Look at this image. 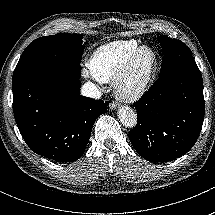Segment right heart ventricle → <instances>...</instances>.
<instances>
[{
    "instance_id": "e07e8e85",
    "label": "right heart ventricle",
    "mask_w": 215,
    "mask_h": 215,
    "mask_svg": "<svg viewBox=\"0 0 215 215\" xmlns=\"http://www.w3.org/2000/svg\"><path fill=\"white\" fill-rule=\"evenodd\" d=\"M138 46L135 40H120L98 47L86 60L88 74L101 82L111 80Z\"/></svg>"
}]
</instances>
